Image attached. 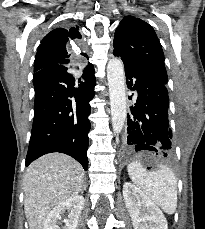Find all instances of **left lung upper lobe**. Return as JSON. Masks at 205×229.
<instances>
[{
    "label": "left lung upper lobe",
    "mask_w": 205,
    "mask_h": 229,
    "mask_svg": "<svg viewBox=\"0 0 205 229\" xmlns=\"http://www.w3.org/2000/svg\"><path fill=\"white\" fill-rule=\"evenodd\" d=\"M114 54L125 65L167 84L164 54L154 29L143 20L126 16L116 29Z\"/></svg>",
    "instance_id": "5c2ea615"
}]
</instances>
